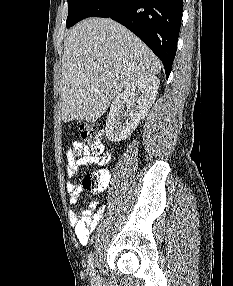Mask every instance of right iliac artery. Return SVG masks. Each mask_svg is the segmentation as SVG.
<instances>
[{
  "instance_id": "obj_1",
  "label": "right iliac artery",
  "mask_w": 233,
  "mask_h": 286,
  "mask_svg": "<svg viewBox=\"0 0 233 286\" xmlns=\"http://www.w3.org/2000/svg\"><path fill=\"white\" fill-rule=\"evenodd\" d=\"M88 271L92 280L95 278L94 259L92 252L88 257Z\"/></svg>"
}]
</instances>
